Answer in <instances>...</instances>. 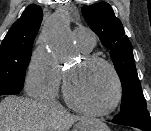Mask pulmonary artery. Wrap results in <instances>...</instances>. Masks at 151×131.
I'll use <instances>...</instances> for the list:
<instances>
[{
  "label": "pulmonary artery",
  "instance_id": "1",
  "mask_svg": "<svg viewBox=\"0 0 151 131\" xmlns=\"http://www.w3.org/2000/svg\"><path fill=\"white\" fill-rule=\"evenodd\" d=\"M73 36L78 46L84 51L89 52L93 49L96 39L94 33L86 28H76Z\"/></svg>",
  "mask_w": 151,
  "mask_h": 131
}]
</instances>
